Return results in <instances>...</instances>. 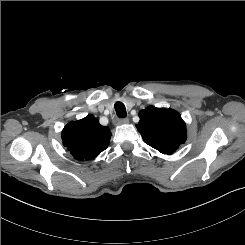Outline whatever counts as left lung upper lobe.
<instances>
[{"mask_svg":"<svg viewBox=\"0 0 245 245\" xmlns=\"http://www.w3.org/2000/svg\"><path fill=\"white\" fill-rule=\"evenodd\" d=\"M138 115L137 130L159 152L172 154L186 141V125L177 111L149 106Z\"/></svg>","mask_w":245,"mask_h":245,"instance_id":"left-lung-upper-lobe-1","label":"left lung upper lobe"}]
</instances>
